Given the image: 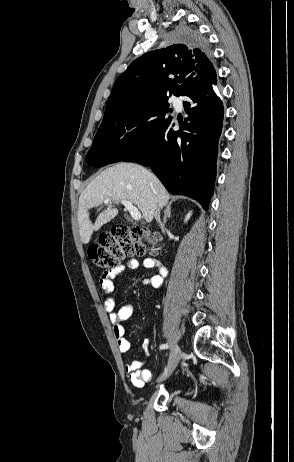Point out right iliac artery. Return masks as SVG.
I'll use <instances>...</instances> for the list:
<instances>
[{"label": "right iliac artery", "mask_w": 294, "mask_h": 462, "mask_svg": "<svg viewBox=\"0 0 294 462\" xmlns=\"http://www.w3.org/2000/svg\"><path fill=\"white\" fill-rule=\"evenodd\" d=\"M168 347H169V346H168L167 344H162V345L160 346V349L163 350V349H167ZM166 373H167V369H165V372H164L163 376H165ZM163 376H162V377H163Z\"/></svg>", "instance_id": "82829eb1"}]
</instances>
